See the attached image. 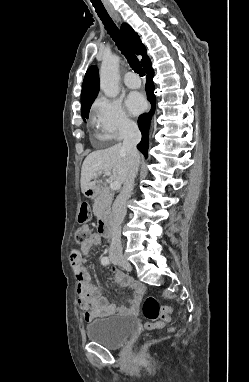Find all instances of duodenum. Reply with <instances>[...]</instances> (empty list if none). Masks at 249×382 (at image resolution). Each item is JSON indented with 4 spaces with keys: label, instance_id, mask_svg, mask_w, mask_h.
<instances>
[{
    "label": "duodenum",
    "instance_id": "410a0bca",
    "mask_svg": "<svg viewBox=\"0 0 249 382\" xmlns=\"http://www.w3.org/2000/svg\"><path fill=\"white\" fill-rule=\"evenodd\" d=\"M90 188L93 189L95 197L96 188L94 186H91ZM98 230L104 238L109 239L112 237L113 234V225L108 219H101L98 222Z\"/></svg>",
    "mask_w": 249,
    "mask_h": 382
}]
</instances>
